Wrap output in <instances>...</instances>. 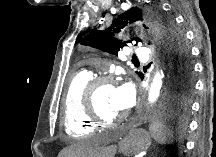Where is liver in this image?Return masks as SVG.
Here are the masks:
<instances>
[{"instance_id":"obj_1","label":"liver","mask_w":216,"mask_h":157,"mask_svg":"<svg viewBox=\"0 0 216 157\" xmlns=\"http://www.w3.org/2000/svg\"><path fill=\"white\" fill-rule=\"evenodd\" d=\"M111 148L93 147L88 142L72 144L59 153V157H105L110 155Z\"/></svg>"}]
</instances>
